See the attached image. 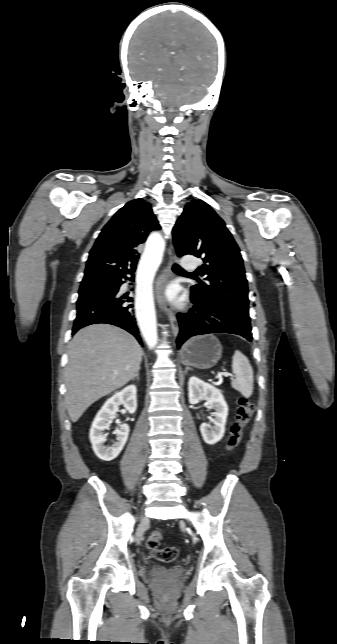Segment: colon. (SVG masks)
I'll return each instance as SVG.
<instances>
[{
    "label": "colon",
    "instance_id": "1",
    "mask_svg": "<svg viewBox=\"0 0 337 644\" xmlns=\"http://www.w3.org/2000/svg\"><path fill=\"white\" fill-rule=\"evenodd\" d=\"M254 412V405L247 397H240L238 399V407L235 414V420L230 427V432L227 438L228 450H233L240 442L245 426L250 421ZM162 540V533L160 530H154L149 534L146 540V546L151 551L152 555L162 562H172L178 557V549L176 547L159 548Z\"/></svg>",
    "mask_w": 337,
    "mask_h": 644
}]
</instances>
